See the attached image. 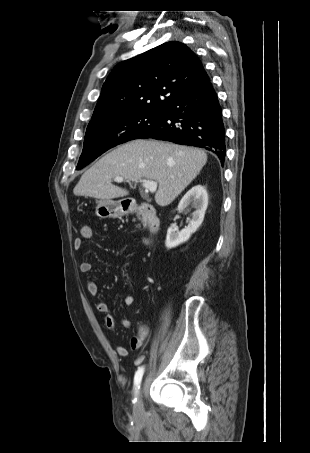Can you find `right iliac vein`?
Returning a JSON list of instances; mask_svg holds the SVG:
<instances>
[{"instance_id":"obj_1","label":"right iliac vein","mask_w":310,"mask_h":453,"mask_svg":"<svg viewBox=\"0 0 310 453\" xmlns=\"http://www.w3.org/2000/svg\"><path fill=\"white\" fill-rule=\"evenodd\" d=\"M144 408H143V403H142V391L139 390L137 394V399L134 404V414L139 417L143 414Z\"/></svg>"}]
</instances>
